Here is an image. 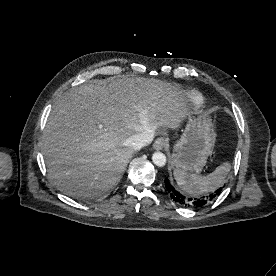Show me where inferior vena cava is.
<instances>
[{
	"instance_id": "obj_1",
	"label": "inferior vena cava",
	"mask_w": 276,
	"mask_h": 276,
	"mask_svg": "<svg viewBox=\"0 0 276 276\" xmlns=\"http://www.w3.org/2000/svg\"><path fill=\"white\" fill-rule=\"evenodd\" d=\"M154 133L143 132L135 134L128 139L129 146L134 150H139L142 147L150 144L153 140Z\"/></svg>"
}]
</instances>
